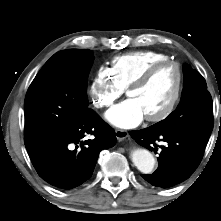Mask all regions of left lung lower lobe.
<instances>
[{
  "mask_svg": "<svg viewBox=\"0 0 221 221\" xmlns=\"http://www.w3.org/2000/svg\"><path fill=\"white\" fill-rule=\"evenodd\" d=\"M136 142L151 151H158L160 146L159 166L152 174L142 177L156 187L168 188L189 178L198 167L208 142L209 136L193 132L165 133L150 126L142 130L131 131Z\"/></svg>",
  "mask_w": 221,
  "mask_h": 221,
  "instance_id": "obj_1",
  "label": "left lung lower lobe"
}]
</instances>
